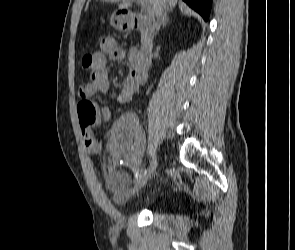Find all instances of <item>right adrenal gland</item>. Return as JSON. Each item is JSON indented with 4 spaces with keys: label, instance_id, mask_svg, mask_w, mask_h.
<instances>
[{
    "label": "right adrenal gland",
    "instance_id": "right-adrenal-gland-1",
    "mask_svg": "<svg viewBox=\"0 0 295 250\" xmlns=\"http://www.w3.org/2000/svg\"><path fill=\"white\" fill-rule=\"evenodd\" d=\"M168 23H169V17L167 15V11L165 10V12H164L163 16L161 17V20L158 24L157 32H159L161 26H166Z\"/></svg>",
    "mask_w": 295,
    "mask_h": 250
}]
</instances>
